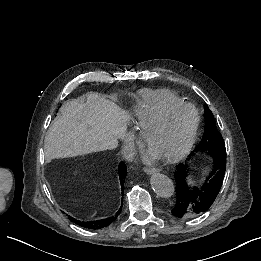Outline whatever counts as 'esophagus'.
<instances>
[{
	"label": "esophagus",
	"mask_w": 261,
	"mask_h": 261,
	"mask_svg": "<svg viewBox=\"0 0 261 261\" xmlns=\"http://www.w3.org/2000/svg\"><path fill=\"white\" fill-rule=\"evenodd\" d=\"M144 171L146 174H151V173L154 174V173L158 172L159 170L155 167H145Z\"/></svg>",
	"instance_id": "obj_1"
}]
</instances>
